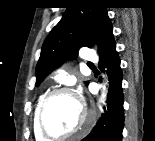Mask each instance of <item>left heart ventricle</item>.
I'll return each mask as SVG.
<instances>
[{
	"label": "left heart ventricle",
	"instance_id": "left-heart-ventricle-1",
	"mask_svg": "<svg viewBox=\"0 0 155 141\" xmlns=\"http://www.w3.org/2000/svg\"><path fill=\"white\" fill-rule=\"evenodd\" d=\"M81 104L73 96L59 94L51 98L45 114V125L54 134H62L76 128L82 121Z\"/></svg>",
	"mask_w": 155,
	"mask_h": 141
}]
</instances>
